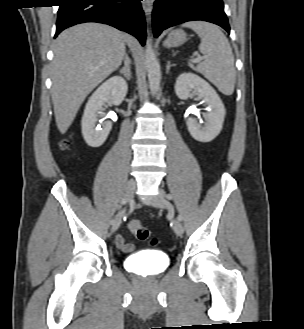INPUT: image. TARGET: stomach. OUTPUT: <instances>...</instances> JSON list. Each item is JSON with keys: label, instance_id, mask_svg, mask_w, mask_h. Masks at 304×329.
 <instances>
[{"label": "stomach", "instance_id": "0dacf381", "mask_svg": "<svg viewBox=\"0 0 304 329\" xmlns=\"http://www.w3.org/2000/svg\"><path fill=\"white\" fill-rule=\"evenodd\" d=\"M186 33L182 30H174L168 35L167 44L171 47L182 45L187 37Z\"/></svg>", "mask_w": 304, "mask_h": 329}]
</instances>
